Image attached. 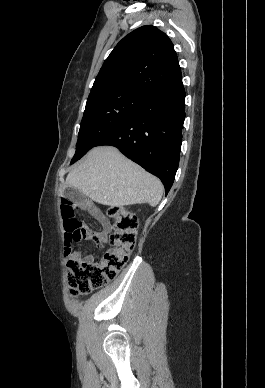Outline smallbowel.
<instances>
[{
	"label": "small bowel",
	"instance_id": "obj_1",
	"mask_svg": "<svg viewBox=\"0 0 265 388\" xmlns=\"http://www.w3.org/2000/svg\"><path fill=\"white\" fill-rule=\"evenodd\" d=\"M83 207L102 226V230L101 231H91V230H88V234H89L88 239L93 241L98 247L102 248L107 243V237H108V233L111 230V224H110L108 218L101 212V210L97 206H95L93 204H87V205H85ZM72 256L76 257L78 259H81V260H83L85 262H88V263H93L94 262V257L92 255H86L83 258H81L79 253L74 252L72 254Z\"/></svg>",
	"mask_w": 265,
	"mask_h": 388
}]
</instances>
